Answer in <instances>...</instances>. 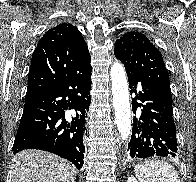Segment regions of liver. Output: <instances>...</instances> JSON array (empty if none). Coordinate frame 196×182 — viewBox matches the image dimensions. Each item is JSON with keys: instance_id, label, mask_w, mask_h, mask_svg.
Masks as SVG:
<instances>
[{"instance_id": "1", "label": "liver", "mask_w": 196, "mask_h": 182, "mask_svg": "<svg viewBox=\"0 0 196 182\" xmlns=\"http://www.w3.org/2000/svg\"><path fill=\"white\" fill-rule=\"evenodd\" d=\"M76 168L48 152L24 150L13 158L12 182H75Z\"/></svg>"}]
</instances>
